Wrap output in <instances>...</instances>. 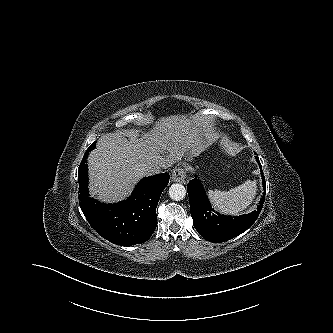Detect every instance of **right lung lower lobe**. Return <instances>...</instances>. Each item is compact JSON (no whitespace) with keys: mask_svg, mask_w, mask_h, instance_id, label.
I'll list each match as a JSON object with an SVG mask.
<instances>
[{"mask_svg":"<svg viewBox=\"0 0 333 333\" xmlns=\"http://www.w3.org/2000/svg\"><path fill=\"white\" fill-rule=\"evenodd\" d=\"M78 171L80 208L91 227L106 240L122 246L146 242L157 226L156 207L168 185L169 174L162 173L141 180L131 196L116 204H103L89 197L87 156Z\"/></svg>","mask_w":333,"mask_h":333,"instance_id":"98d812e1","label":"right lung lower lobe"}]
</instances>
